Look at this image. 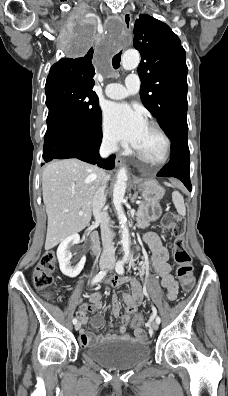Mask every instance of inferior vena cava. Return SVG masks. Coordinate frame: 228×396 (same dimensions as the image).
<instances>
[{
	"mask_svg": "<svg viewBox=\"0 0 228 396\" xmlns=\"http://www.w3.org/2000/svg\"><path fill=\"white\" fill-rule=\"evenodd\" d=\"M117 149L116 141H104L100 147V155L102 157H107L110 154L116 152ZM108 178L109 177L106 175L102 178L101 184L97 188L93 197L92 210L95 219L100 222L103 255H114L115 248L113 244V235L110 228V217L107 212L103 211L106 202L105 188Z\"/></svg>",
	"mask_w": 228,
	"mask_h": 396,
	"instance_id": "obj_1",
	"label": "inferior vena cava"
}]
</instances>
